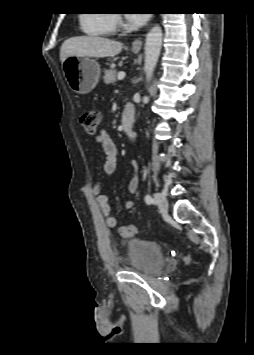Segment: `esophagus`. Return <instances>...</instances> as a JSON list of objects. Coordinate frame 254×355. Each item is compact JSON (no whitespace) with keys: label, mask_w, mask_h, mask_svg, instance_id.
<instances>
[{"label":"esophagus","mask_w":254,"mask_h":355,"mask_svg":"<svg viewBox=\"0 0 254 355\" xmlns=\"http://www.w3.org/2000/svg\"><path fill=\"white\" fill-rule=\"evenodd\" d=\"M142 39H136L133 43H132V45H131V48L133 49V50H140L141 49V47H142Z\"/></svg>","instance_id":"esophagus-1"}]
</instances>
